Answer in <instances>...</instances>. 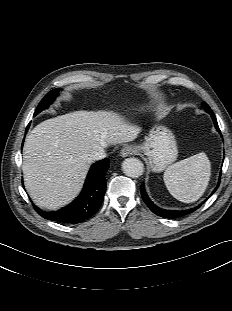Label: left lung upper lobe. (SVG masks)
<instances>
[{"label":"left lung upper lobe","instance_id":"obj_1","mask_svg":"<svg viewBox=\"0 0 232 311\" xmlns=\"http://www.w3.org/2000/svg\"><path fill=\"white\" fill-rule=\"evenodd\" d=\"M203 105L205 108H209V106L206 103H204Z\"/></svg>","mask_w":232,"mask_h":311}]
</instances>
